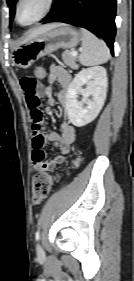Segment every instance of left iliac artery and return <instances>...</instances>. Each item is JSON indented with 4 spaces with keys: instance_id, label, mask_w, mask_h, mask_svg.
<instances>
[{
    "instance_id": "left-iliac-artery-1",
    "label": "left iliac artery",
    "mask_w": 134,
    "mask_h": 281,
    "mask_svg": "<svg viewBox=\"0 0 134 281\" xmlns=\"http://www.w3.org/2000/svg\"><path fill=\"white\" fill-rule=\"evenodd\" d=\"M35 238H36L37 241L39 240V238H40V232H39V230L36 232Z\"/></svg>"
}]
</instances>
